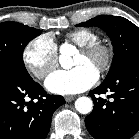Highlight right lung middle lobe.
Masks as SVG:
<instances>
[{"instance_id":"1","label":"right lung middle lobe","mask_w":139,"mask_h":139,"mask_svg":"<svg viewBox=\"0 0 139 139\" xmlns=\"http://www.w3.org/2000/svg\"><path fill=\"white\" fill-rule=\"evenodd\" d=\"M40 32L17 22L0 23V64L27 72L23 62V50Z\"/></svg>"}]
</instances>
